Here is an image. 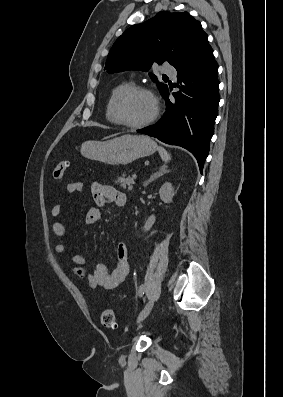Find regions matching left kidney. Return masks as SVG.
Returning <instances> with one entry per match:
<instances>
[{
	"mask_svg": "<svg viewBox=\"0 0 283 397\" xmlns=\"http://www.w3.org/2000/svg\"><path fill=\"white\" fill-rule=\"evenodd\" d=\"M160 198L164 203H171L174 193L172 184L169 182L164 183L159 190ZM156 221L155 215L150 216L143 227V231H149Z\"/></svg>",
	"mask_w": 283,
	"mask_h": 397,
	"instance_id": "1",
	"label": "left kidney"
}]
</instances>
